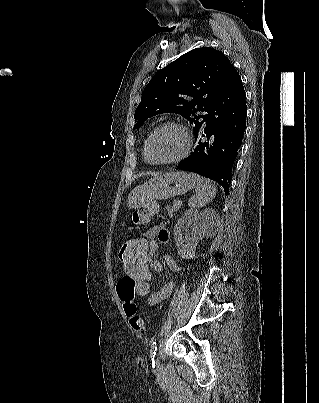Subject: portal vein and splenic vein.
Masks as SVG:
<instances>
[{
	"label": "portal vein and splenic vein",
	"instance_id": "obj_1",
	"mask_svg": "<svg viewBox=\"0 0 319 403\" xmlns=\"http://www.w3.org/2000/svg\"><path fill=\"white\" fill-rule=\"evenodd\" d=\"M175 202H176L177 205H181V204H182V202L179 201V200H178V201H175Z\"/></svg>",
	"mask_w": 319,
	"mask_h": 403
}]
</instances>
